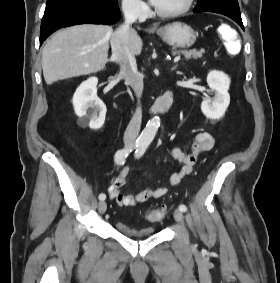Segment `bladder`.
<instances>
[{
	"instance_id": "bladder-1",
	"label": "bladder",
	"mask_w": 280,
	"mask_h": 283,
	"mask_svg": "<svg viewBox=\"0 0 280 283\" xmlns=\"http://www.w3.org/2000/svg\"><path fill=\"white\" fill-rule=\"evenodd\" d=\"M117 231L128 237V238H133V239H138V238H145V237H150L155 234V227L152 225H145V226H131L128 223L118 221L115 224Z\"/></svg>"
}]
</instances>
